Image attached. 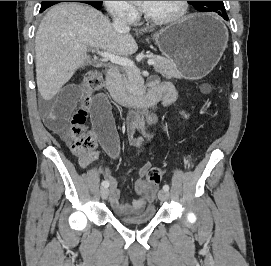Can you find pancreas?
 Instances as JSON below:
<instances>
[{"label":"pancreas","instance_id":"1","mask_svg":"<svg viewBox=\"0 0 271 266\" xmlns=\"http://www.w3.org/2000/svg\"><path fill=\"white\" fill-rule=\"evenodd\" d=\"M155 61L154 70L166 78H175L179 71L175 63L161 56L154 55L151 57ZM122 82L124 88L130 94L139 95L144 91V80L141 77L140 70L137 67H123Z\"/></svg>","mask_w":271,"mask_h":266}]
</instances>
